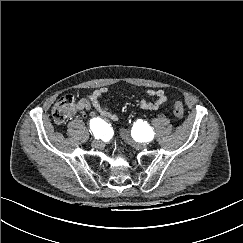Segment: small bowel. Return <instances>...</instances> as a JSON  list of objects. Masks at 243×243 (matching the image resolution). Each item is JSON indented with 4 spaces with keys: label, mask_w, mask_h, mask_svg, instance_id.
Returning a JSON list of instances; mask_svg holds the SVG:
<instances>
[{
    "label": "small bowel",
    "mask_w": 243,
    "mask_h": 243,
    "mask_svg": "<svg viewBox=\"0 0 243 243\" xmlns=\"http://www.w3.org/2000/svg\"><path fill=\"white\" fill-rule=\"evenodd\" d=\"M108 91L106 87H101L96 89L93 93L88 95L86 98L79 100L76 104L74 113L89 111L90 109H94L97 113H99L104 118L115 120L116 115L105 105L102 103V96ZM146 94L150 97L156 98L154 102L148 101L145 97H142L140 100V107L143 110H157L163 106H165L168 102V98L165 92L162 89H148ZM105 133L107 135L111 134V130L108 126L105 128Z\"/></svg>",
    "instance_id": "obj_1"
}]
</instances>
